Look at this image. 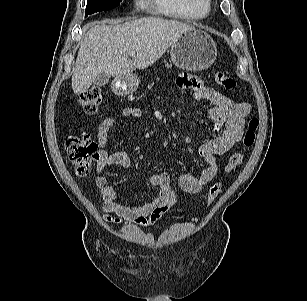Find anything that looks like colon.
I'll list each match as a JSON object with an SVG mask.
<instances>
[{
	"instance_id": "colon-1",
	"label": "colon",
	"mask_w": 307,
	"mask_h": 301,
	"mask_svg": "<svg viewBox=\"0 0 307 301\" xmlns=\"http://www.w3.org/2000/svg\"><path fill=\"white\" fill-rule=\"evenodd\" d=\"M215 80L219 86L226 90L235 88L236 81L234 77L225 72H217ZM102 102L101 91L97 87H92L82 92L78 97V104L84 113L91 115L96 112ZM259 125V120L253 117L248 122V127L243 137V147L241 150L233 153L224 168L225 177L229 176L235 168H237L244 159L245 151L252 147L255 142L256 131ZM65 148L69 160L75 167L78 175H86L94 161L98 158V145L89 134L70 135L65 140ZM223 187V181L214 182L208 189L206 194V203L211 205Z\"/></svg>"
}]
</instances>
